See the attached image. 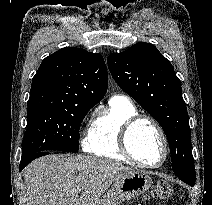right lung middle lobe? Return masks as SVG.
<instances>
[{"mask_svg":"<svg viewBox=\"0 0 212 205\" xmlns=\"http://www.w3.org/2000/svg\"><path fill=\"white\" fill-rule=\"evenodd\" d=\"M93 106H28L22 158L42 151L77 152L80 124Z\"/></svg>","mask_w":212,"mask_h":205,"instance_id":"right-lung-middle-lobe-1","label":"right lung middle lobe"}]
</instances>
